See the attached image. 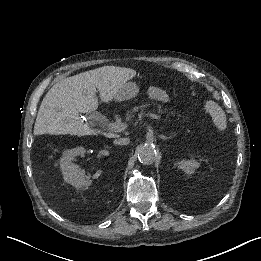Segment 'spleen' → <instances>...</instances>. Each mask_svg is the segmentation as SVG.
Segmentation results:
<instances>
[{
  "instance_id": "spleen-1",
  "label": "spleen",
  "mask_w": 261,
  "mask_h": 261,
  "mask_svg": "<svg viewBox=\"0 0 261 261\" xmlns=\"http://www.w3.org/2000/svg\"><path fill=\"white\" fill-rule=\"evenodd\" d=\"M205 110L211 115L217 132L223 134L228 128L225 112L213 101L206 103Z\"/></svg>"
}]
</instances>
